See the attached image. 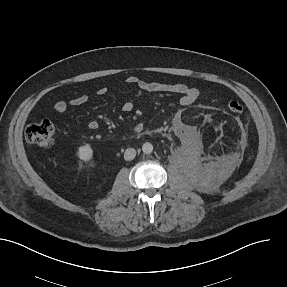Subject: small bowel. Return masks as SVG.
<instances>
[{
	"instance_id": "c3829d8e",
	"label": "small bowel",
	"mask_w": 287,
	"mask_h": 287,
	"mask_svg": "<svg viewBox=\"0 0 287 287\" xmlns=\"http://www.w3.org/2000/svg\"><path fill=\"white\" fill-rule=\"evenodd\" d=\"M126 82L130 85L138 87L140 90L150 92V93H168L176 94L180 97V103L183 106H188L196 102L200 97V91L192 86L183 83H165L157 81H148L140 79L136 76H130L127 78ZM107 92V88L101 87L98 90L100 95H104ZM89 97L87 95H80L73 98L70 102L59 100L55 103L54 109L57 113H65L69 106H79L87 103ZM133 109V104L130 101H125L122 105V110L129 112ZM99 128V123L97 121H90L88 123V129L95 131ZM143 128L142 124H136L134 130L139 132Z\"/></svg>"
}]
</instances>
